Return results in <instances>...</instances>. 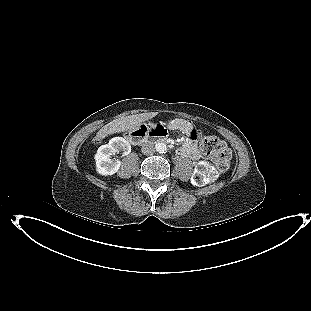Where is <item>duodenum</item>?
Segmentation results:
<instances>
[{
	"label": "duodenum",
	"mask_w": 311,
	"mask_h": 311,
	"mask_svg": "<svg viewBox=\"0 0 311 311\" xmlns=\"http://www.w3.org/2000/svg\"><path fill=\"white\" fill-rule=\"evenodd\" d=\"M151 136L157 138L158 141H167L165 131L163 129H150L145 126L132 131L129 140L133 145H140L148 141Z\"/></svg>",
	"instance_id": "obj_1"
}]
</instances>
